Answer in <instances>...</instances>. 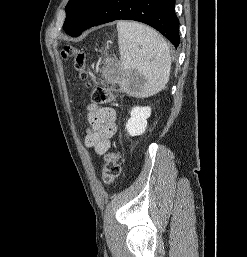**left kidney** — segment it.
Returning a JSON list of instances; mask_svg holds the SVG:
<instances>
[{
    "mask_svg": "<svg viewBox=\"0 0 247 257\" xmlns=\"http://www.w3.org/2000/svg\"><path fill=\"white\" fill-rule=\"evenodd\" d=\"M130 119L126 123V129L129 135L138 136L145 132L147 127V119L151 115L150 107H134L130 112Z\"/></svg>",
    "mask_w": 247,
    "mask_h": 257,
    "instance_id": "1",
    "label": "left kidney"
}]
</instances>
